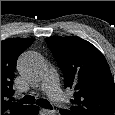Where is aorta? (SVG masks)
Masks as SVG:
<instances>
[{"instance_id":"1","label":"aorta","mask_w":115,"mask_h":115,"mask_svg":"<svg viewBox=\"0 0 115 115\" xmlns=\"http://www.w3.org/2000/svg\"><path fill=\"white\" fill-rule=\"evenodd\" d=\"M18 69L27 79L38 81L45 72L46 64L38 53L29 51L20 57Z\"/></svg>"}]
</instances>
